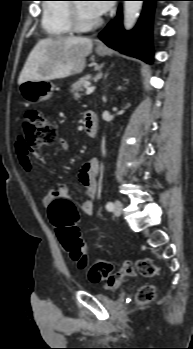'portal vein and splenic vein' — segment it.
Returning a JSON list of instances; mask_svg holds the SVG:
<instances>
[{
  "label": "portal vein and splenic vein",
  "mask_w": 193,
  "mask_h": 349,
  "mask_svg": "<svg viewBox=\"0 0 193 349\" xmlns=\"http://www.w3.org/2000/svg\"><path fill=\"white\" fill-rule=\"evenodd\" d=\"M95 90V86H90L86 89V94L90 95L91 93H93Z\"/></svg>",
  "instance_id": "1"
}]
</instances>
